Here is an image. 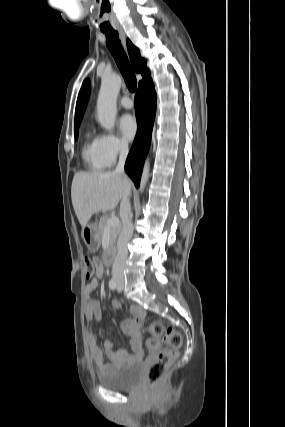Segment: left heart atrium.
<instances>
[{
    "label": "left heart atrium",
    "mask_w": 285,
    "mask_h": 427,
    "mask_svg": "<svg viewBox=\"0 0 285 427\" xmlns=\"http://www.w3.org/2000/svg\"><path fill=\"white\" fill-rule=\"evenodd\" d=\"M120 130L125 140H132L138 131V125L135 118L130 114H125L119 121Z\"/></svg>",
    "instance_id": "39dd6f15"
}]
</instances>
